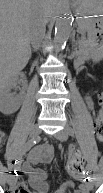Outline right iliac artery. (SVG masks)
Wrapping results in <instances>:
<instances>
[{"label": "right iliac artery", "instance_id": "obj_1", "mask_svg": "<svg viewBox=\"0 0 103 193\" xmlns=\"http://www.w3.org/2000/svg\"><path fill=\"white\" fill-rule=\"evenodd\" d=\"M40 138L39 137H35L30 139L23 147V151L21 153V155L18 157V159L15 161L14 163V172L16 173L17 171H19L20 169V165L22 162V156L25 152H27L28 150H30L37 142H39Z\"/></svg>", "mask_w": 103, "mask_h": 193}]
</instances>
